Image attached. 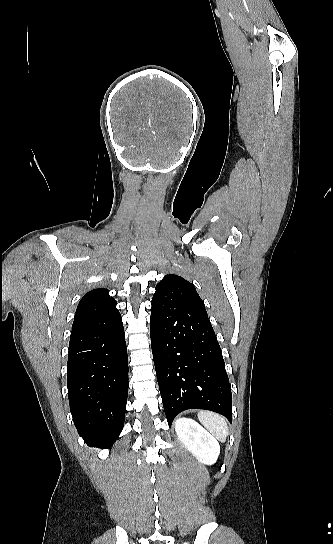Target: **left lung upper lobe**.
Segmentation results:
<instances>
[{"instance_id":"1","label":"left lung upper lobe","mask_w":333,"mask_h":544,"mask_svg":"<svg viewBox=\"0 0 333 544\" xmlns=\"http://www.w3.org/2000/svg\"><path fill=\"white\" fill-rule=\"evenodd\" d=\"M152 301L162 304L165 301H178L205 308L194 285L181 276L166 275L157 285Z\"/></svg>"}]
</instances>
